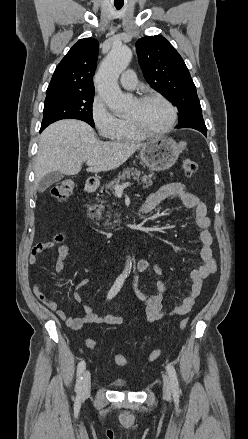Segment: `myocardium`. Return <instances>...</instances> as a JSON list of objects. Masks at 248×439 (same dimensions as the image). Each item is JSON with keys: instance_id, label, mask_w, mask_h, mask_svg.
Segmentation results:
<instances>
[{"instance_id": "obj_1", "label": "myocardium", "mask_w": 248, "mask_h": 439, "mask_svg": "<svg viewBox=\"0 0 248 439\" xmlns=\"http://www.w3.org/2000/svg\"><path fill=\"white\" fill-rule=\"evenodd\" d=\"M151 99L161 100L170 109L171 120H170L169 125L166 128H164L163 130H160V131H150V130L145 129L142 126V124L140 123V121L137 117H128L127 119L129 121L130 125L132 126L133 130L143 137H154V136H162V135L168 134L169 132H171L173 130V128L175 127V125L177 123V109L168 98H166L165 96H163L159 93H146V94L140 95L137 98V102L142 104V103H144L148 100H151Z\"/></svg>"}]
</instances>
